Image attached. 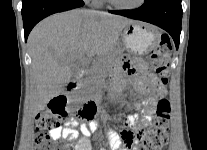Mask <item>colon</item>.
I'll return each instance as SVG.
<instances>
[{
    "mask_svg": "<svg viewBox=\"0 0 207 150\" xmlns=\"http://www.w3.org/2000/svg\"><path fill=\"white\" fill-rule=\"evenodd\" d=\"M171 52V43L168 36H161L159 43L150 53V59L155 72L160 77L163 84L167 83L169 75L168 56ZM149 104L151 107L155 102L153 99ZM49 108L41 111L36 116L35 129L37 131L36 147L37 150H71L70 145L60 143L52 138L48 132L61 126L62 122L67 117L65 105H68V100L60 96L49 100ZM170 104L166 99H160L157 102L155 114L152 118V125L147 132L138 134V139L141 143L134 150H161L168 143V130L170 120ZM93 110H81L79 116L84 119H91L94 115ZM124 148L131 150L136 144L135 135L130 131L123 132Z\"/></svg>",
    "mask_w": 207,
    "mask_h": 150,
    "instance_id": "colon-1",
    "label": "colon"
}]
</instances>
